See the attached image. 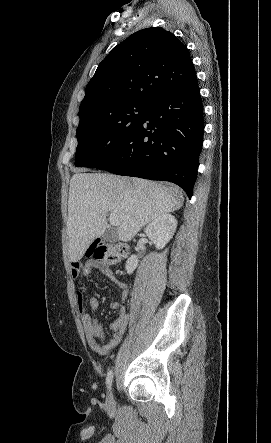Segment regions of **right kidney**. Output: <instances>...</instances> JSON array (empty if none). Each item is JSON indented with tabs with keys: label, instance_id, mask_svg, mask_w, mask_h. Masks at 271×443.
<instances>
[{
	"label": "right kidney",
	"instance_id": "obj_1",
	"mask_svg": "<svg viewBox=\"0 0 271 443\" xmlns=\"http://www.w3.org/2000/svg\"><path fill=\"white\" fill-rule=\"evenodd\" d=\"M177 227V220L172 214H161L156 220L148 223L144 231L151 241H154L157 249H162L168 243L169 239L173 237ZM138 255H130L126 261L127 273H133L138 265Z\"/></svg>",
	"mask_w": 271,
	"mask_h": 443
}]
</instances>
